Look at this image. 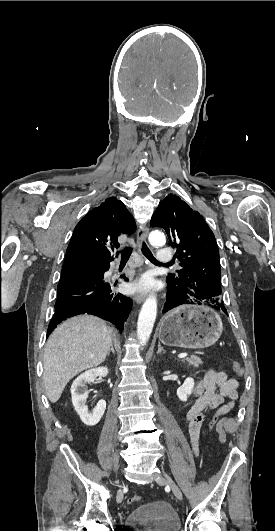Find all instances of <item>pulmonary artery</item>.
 Here are the masks:
<instances>
[{
	"label": "pulmonary artery",
	"instance_id": "e3ab8cb5",
	"mask_svg": "<svg viewBox=\"0 0 275 531\" xmlns=\"http://www.w3.org/2000/svg\"><path fill=\"white\" fill-rule=\"evenodd\" d=\"M155 256L157 259H159L160 263L163 265H166L173 261V258L171 257L172 253L170 251L159 249L156 251Z\"/></svg>",
	"mask_w": 275,
	"mask_h": 531
}]
</instances>
